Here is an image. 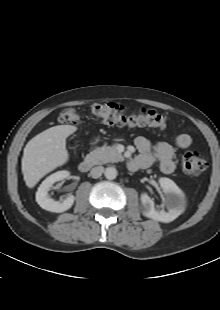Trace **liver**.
I'll list each match as a JSON object with an SVG mask.
<instances>
[{
    "mask_svg": "<svg viewBox=\"0 0 220 310\" xmlns=\"http://www.w3.org/2000/svg\"><path fill=\"white\" fill-rule=\"evenodd\" d=\"M75 131L76 126L58 125L39 133L27 143L22 157V173L27 187L33 188L42 177L68 161L66 138Z\"/></svg>",
    "mask_w": 220,
    "mask_h": 310,
    "instance_id": "liver-1",
    "label": "liver"
}]
</instances>
